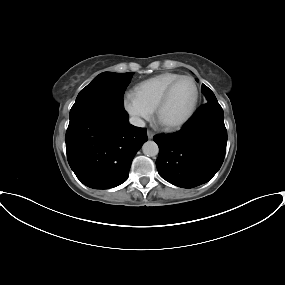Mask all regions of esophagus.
Segmentation results:
<instances>
[{"label": "esophagus", "mask_w": 285, "mask_h": 285, "mask_svg": "<svg viewBox=\"0 0 285 285\" xmlns=\"http://www.w3.org/2000/svg\"><path fill=\"white\" fill-rule=\"evenodd\" d=\"M147 137H148V139H153L154 133L152 131L148 130L147 131Z\"/></svg>", "instance_id": "1"}]
</instances>
